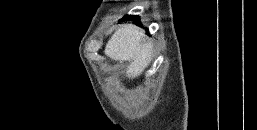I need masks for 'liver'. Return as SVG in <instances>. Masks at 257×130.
<instances>
[{"instance_id": "1", "label": "liver", "mask_w": 257, "mask_h": 130, "mask_svg": "<svg viewBox=\"0 0 257 130\" xmlns=\"http://www.w3.org/2000/svg\"><path fill=\"white\" fill-rule=\"evenodd\" d=\"M145 33L132 23L123 24L112 35L105 55L115 61L129 62L125 74L130 79L138 77L151 62L153 45L142 42Z\"/></svg>"}]
</instances>
